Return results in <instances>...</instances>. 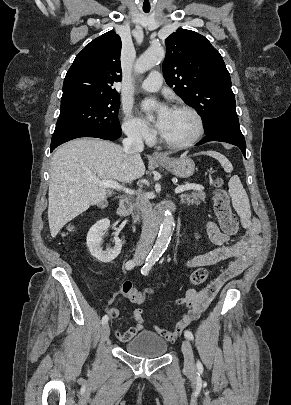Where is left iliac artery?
<instances>
[{
    "mask_svg": "<svg viewBox=\"0 0 291 405\" xmlns=\"http://www.w3.org/2000/svg\"><path fill=\"white\" fill-rule=\"evenodd\" d=\"M154 263H155V262H153V261H148V262L142 267L141 273H142L143 275H148V274H149V271L151 270V268H152V266L154 265ZM184 335H185V337H186L187 339H189V340H193V339H194V336H193L192 332H190V331H188V330H186V331L184 332ZM197 365L200 366L201 363L198 361V362H197Z\"/></svg>",
    "mask_w": 291,
    "mask_h": 405,
    "instance_id": "1",
    "label": "left iliac artery"
}]
</instances>
